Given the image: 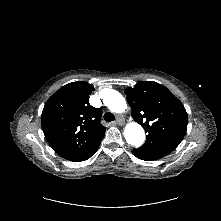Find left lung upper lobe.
Instances as JSON below:
<instances>
[{
    "label": "left lung upper lobe",
    "mask_w": 221,
    "mask_h": 221,
    "mask_svg": "<svg viewBox=\"0 0 221 221\" xmlns=\"http://www.w3.org/2000/svg\"><path fill=\"white\" fill-rule=\"evenodd\" d=\"M133 119L147 132L142 147L135 149L149 159H160L176 149L188 123L183 104L163 85L142 81L125 90Z\"/></svg>",
    "instance_id": "obj_1"
}]
</instances>
